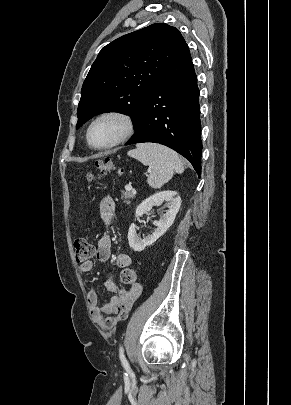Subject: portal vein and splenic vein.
<instances>
[{
    "mask_svg": "<svg viewBox=\"0 0 291 405\" xmlns=\"http://www.w3.org/2000/svg\"><path fill=\"white\" fill-rule=\"evenodd\" d=\"M125 190L126 191H134L131 185H126Z\"/></svg>",
    "mask_w": 291,
    "mask_h": 405,
    "instance_id": "obj_1",
    "label": "portal vein and splenic vein"
}]
</instances>
